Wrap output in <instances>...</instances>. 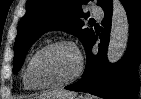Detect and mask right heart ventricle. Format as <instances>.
Listing matches in <instances>:
<instances>
[{
	"mask_svg": "<svg viewBox=\"0 0 141 99\" xmlns=\"http://www.w3.org/2000/svg\"><path fill=\"white\" fill-rule=\"evenodd\" d=\"M28 67V65H27ZM27 67L24 71V75H23V83H24V87L27 89V90H31V91H35V90H39V88L37 87H34L28 80V77H27Z\"/></svg>",
	"mask_w": 141,
	"mask_h": 99,
	"instance_id": "right-heart-ventricle-1",
	"label": "right heart ventricle"
}]
</instances>
